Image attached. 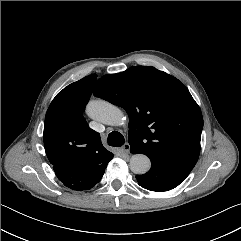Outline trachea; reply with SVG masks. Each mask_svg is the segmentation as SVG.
Segmentation results:
<instances>
[{"label":"trachea","mask_w":241,"mask_h":241,"mask_svg":"<svg viewBox=\"0 0 241 241\" xmlns=\"http://www.w3.org/2000/svg\"><path fill=\"white\" fill-rule=\"evenodd\" d=\"M107 142L110 146L120 147L125 143V140L121 133L113 131L108 135Z\"/></svg>","instance_id":"3493384b"}]
</instances>
